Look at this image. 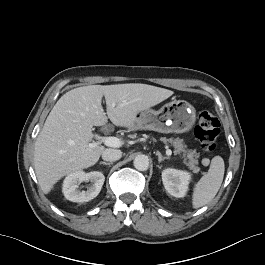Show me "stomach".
<instances>
[{
    "label": "stomach",
    "mask_w": 265,
    "mask_h": 265,
    "mask_svg": "<svg viewBox=\"0 0 265 265\" xmlns=\"http://www.w3.org/2000/svg\"><path fill=\"white\" fill-rule=\"evenodd\" d=\"M134 129H149L160 133H185L196 121L195 108L184 100H173L159 110L148 109L137 114Z\"/></svg>",
    "instance_id": "obj_1"
}]
</instances>
